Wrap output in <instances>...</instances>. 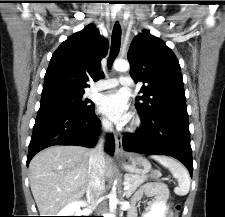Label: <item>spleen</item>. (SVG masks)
Instances as JSON below:
<instances>
[{"mask_svg":"<svg viewBox=\"0 0 225 217\" xmlns=\"http://www.w3.org/2000/svg\"><path fill=\"white\" fill-rule=\"evenodd\" d=\"M152 159L168 168L172 175L178 180V187L174 192L179 196H185L190 190V176L186 168L175 159L164 155H152Z\"/></svg>","mask_w":225,"mask_h":217,"instance_id":"spleen-1","label":"spleen"}]
</instances>
